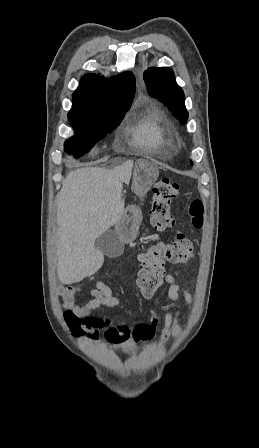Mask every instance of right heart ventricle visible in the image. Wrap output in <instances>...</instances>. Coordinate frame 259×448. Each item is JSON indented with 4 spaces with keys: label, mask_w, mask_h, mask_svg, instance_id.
<instances>
[{
    "label": "right heart ventricle",
    "mask_w": 259,
    "mask_h": 448,
    "mask_svg": "<svg viewBox=\"0 0 259 448\" xmlns=\"http://www.w3.org/2000/svg\"><path fill=\"white\" fill-rule=\"evenodd\" d=\"M125 126L133 142L147 150L149 148H173V133L163 119L155 114L132 116L126 119Z\"/></svg>",
    "instance_id": "right-heart-ventricle-1"
}]
</instances>
